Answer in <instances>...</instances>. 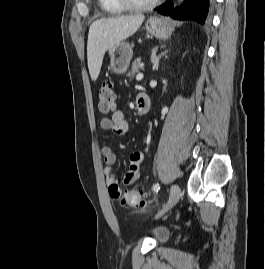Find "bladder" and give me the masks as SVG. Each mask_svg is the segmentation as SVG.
<instances>
[{
    "label": "bladder",
    "mask_w": 265,
    "mask_h": 269,
    "mask_svg": "<svg viewBox=\"0 0 265 269\" xmlns=\"http://www.w3.org/2000/svg\"><path fill=\"white\" fill-rule=\"evenodd\" d=\"M151 236L156 243L162 244L169 239L170 232L167 228L158 226L151 230Z\"/></svg>",
    "instance_id": "bladder-1"
}]
</instances>
